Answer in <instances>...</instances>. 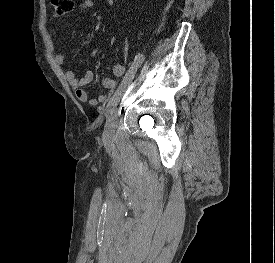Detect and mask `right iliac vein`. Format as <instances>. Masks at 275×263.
I'll return each instance as SVG.
<instances>
[{
    "label": "right iliac vein",
    "mask_w": 275,
    "mask_h": 263,
    "mask_svg": "<svg viewBox=\"0 0 275 263\" xmlns=\"http://www.w3.org/2000/svg\"><path fill=\"white\" fill-rule=\"evenodd\" d=\"M120 98L112 106L109 111H107V121L103 132V141L105 143H110L114 134L115 121L118 115V105Z\"/></svg>",
    "instance_id": "right-iliac-vein-1"
}]
</instances>
